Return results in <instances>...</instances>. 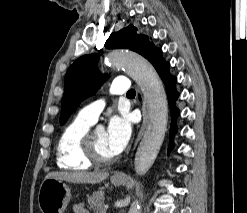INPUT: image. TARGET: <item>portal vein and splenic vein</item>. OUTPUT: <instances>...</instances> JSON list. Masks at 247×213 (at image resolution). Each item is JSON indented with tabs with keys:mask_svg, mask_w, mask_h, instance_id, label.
<instances>
[{
	"mask_svg": "<svg viewBox=\"0 0 247 213\" xmlns=\"http://www.w3.org/2000/svg\"><path fill=\"white\" fill-rule=\"evenodd\" d=\"M106 210H107V208L106 207H104L103 209H102V213H106Z\"/></svg>",
	"mask_w": 247,
	"mask_h": 213,
	"instance_id": "portal-vein-and-splenic-vein-1",
	"label": "portal vein and splenic vein"
}]
</instances>
